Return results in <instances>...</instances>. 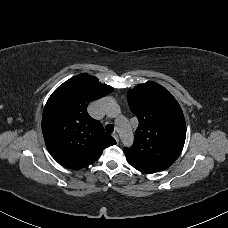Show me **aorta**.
<instances>
[{
    "label": "aorta",
    "mask_w": 228,
    "mask_h": 228,
    "mask_svg": "<svg viewBox=\"0 0 228 228\" xmlns=\"http://www.w3.org/2000/svg\"><path fill=\"white\" fill-rule=\"evenodd\" d=\"M107 113L111 115H118L120 113L119 105L116 102H111L107 107ZM116 124L120 130V136L123 144L125 146H129L133 142V132L129 123L125 119L119 118Z\"/></svg>",
    "instance_id": "obj_1"
}]
</instances>
